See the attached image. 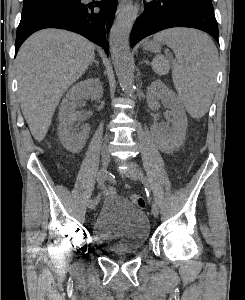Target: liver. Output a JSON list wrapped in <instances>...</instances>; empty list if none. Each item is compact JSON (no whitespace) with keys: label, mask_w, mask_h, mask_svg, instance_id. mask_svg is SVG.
Segmentation results:
<instances>
[{"label":"liver","mask_w":245,"mask_h":300,"mask_svg":"<svg viewBox=\"0 0 245 300\" xmlns=\"http://www.w3.org/2000/svg\"><path fill=\"white\" fill-rule=\"evenodd\" d=\"M94 57L90 41L59 29L38 31L21 46L16 57L18 94L35 140L44 139L62 96Z\"/></svg>","instance_id":"6515ba94"}]
</instances>
